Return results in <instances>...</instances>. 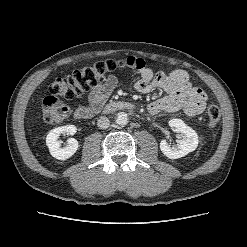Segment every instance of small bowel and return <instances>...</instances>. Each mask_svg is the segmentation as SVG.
Wrapping results in <instances>:
<instances>
[{
    "label": "small bowel",
    "instance_id": "c3829d8e",
    "mask_svg": "<svg viewBox=\"0 0 247 247\" xmlns=\"http://www.w3.org/2000/svg\"><path fill=\"white\" fill-rule=\"evenodd\" d=\"M131 68L139 75L135 84L137 91L148 93L153 89H162L166 95L152 101L148 110L152 114L159 112H177L182 110L188 116L200 115L206 106L207 95L197 87L192 86L189 75L181 69H174L170 72H153L146 66L141 58L129 57ZM118 84L116 75H110L105 82L93 88L88 97L87 106H77L73 110L76 118H90L98 111L106 99L115 90Z\"/></svg>",
    "mask_w": 247,
    "mask_h": 247
}]
</instances>
